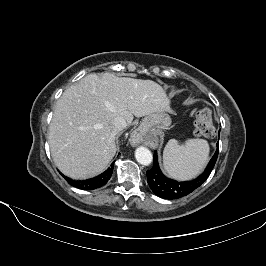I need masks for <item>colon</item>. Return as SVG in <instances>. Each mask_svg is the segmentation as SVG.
<instances>
[{"label": "colon", "mask_w": 266, "mask_h": 266, "mask_svg": "<svg viewBox=\"0 0 266 266\" xmlns=\"http://www.w3.org/2000/svg\"><path fill=\"white\" fill-rule=\"evenodd\" d=\"M195 118L194 132L199 137L210 138L215 134L212 114L208 108L197 109L193 113Z\"/></svg>", "instance_id": "colon-1"}]
</instances>
